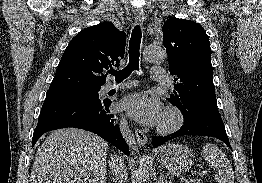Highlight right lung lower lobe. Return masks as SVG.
<instances>
[{"label": "right lung lower lobe", "instance_id": "98d812e1", "mask_svg": "<svg viewBox=\"0 0 262 183\" xmlns=\"http://www.w3.org/2000/svg\"><path fill=\"white\" fill-rule=\"evenodd\" d=\"M110 100L79 96H47L33 134L32 147L47 131L74 127L96 133L126 155L129 148L123 139L117 117L110 113Z\"/></svg>", "mask_w": 262, "mask_h": 183}]
</instances>
